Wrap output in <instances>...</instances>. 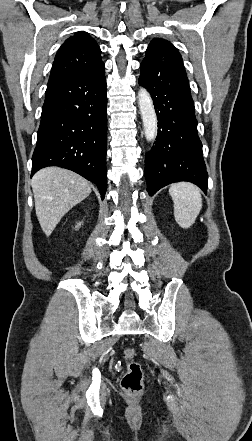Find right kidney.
Returning <instances> with one entry per match:
<instances>
[{"label":"right kidney","mask_w":252,"mask_h":441,"mask_svg":"<svg viewBox=\"0 0 252 441\" xmlns=\"http://www.w3.org/2000/svg\"><path fill=\"white\" fill-rule=\"evenodd\" d=\"M81 225V223L77 224L76 228H78Z\"/></svg>","instance_id":"right-kidney-1"}]
</instances>
